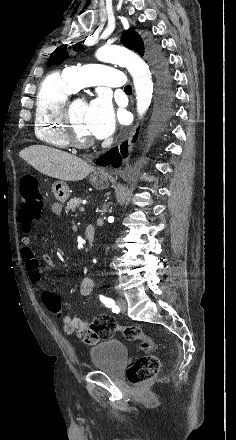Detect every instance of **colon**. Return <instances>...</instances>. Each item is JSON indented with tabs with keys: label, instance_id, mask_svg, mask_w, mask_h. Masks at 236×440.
Masks as SVG:
<instances>
[{
	"label": "colon",
	"instance_id": "5ec220e1",
	"mask_svg": "<svg viewBox=\"0 0 236 440\" xmlns=\"http://www.w3.org/2000/svg\"><path fill=\"white\" fill-rule=\"evenodd\" d=\"M21 204L19 219L27 230L33 221L39 219L43 213L44 202L39 189L38 181L32 174L24 175L20 181ZM44 304L48 310L61 316V300L53 293L44 295ZM90 330L95 332L93 339L84 341L107 339L114 333L121 332L129 340L140 341L143 355L140 356L127 371V379L132 385H139L154 378L160 370V359L154 353V342L151 337L144 334L138 326L119 325L114 318L109 316H98L89 325Z\"/></svg>",
	"mask_w": 236,
	"mask_h": 440
}]
</instances>
